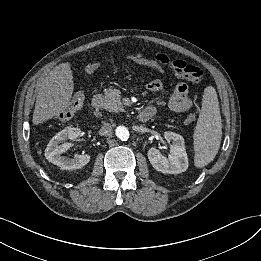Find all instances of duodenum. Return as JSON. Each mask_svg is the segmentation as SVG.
<instances>
[{"instance_id":"1","label":"duodenum","mask_w":261,"mask_h":261,"mask_svg":"<svg viewBox=\"0 0 261 261\" xmlns=\"http://www.w3.org/2000/svg\"><path fill=\"white\" fill-rule=\"evenodd\" d=\"M92 105L95 109H101L103 105V98L100 94H97L93 98ZM154 115V110L150 107H146L140 111L138 115V121L140 123L147 122Z\"/></svg>"}]
</instances>
